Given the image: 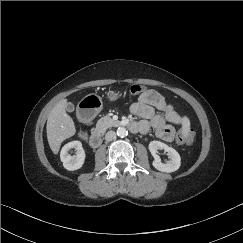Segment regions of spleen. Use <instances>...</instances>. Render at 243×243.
Segmentation results:
<instances>
[{
    "label": "spleen",
    "instance_id": "3e777b00",
    "mask_svg": "<svg viewBox=\"0 0 243 243\" xmlns=\"http://www.w3.org/2000/svg\"><path fill=\"white\" fill-rule=\"evenodd\" d=\"M189 126H190L189 120L187 118H184V121H183V129L185 131V135H187Z\"/></svg>",
    "mask_w": 243,
    "mask_h": 243
}]
</instances>
